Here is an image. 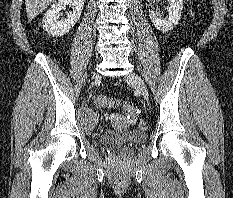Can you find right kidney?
<instances>
[{"instance_id": "1", "label": "right kidney", "mask_w": 233, "mask_h": 198, "mask_svg": "<svg viewBox=\"0 0 233 198\" xmlns=\"http://www.w3.org/2000/svg\"><path fill=\"white\" fill-rule=\"evenodd\" d=\"M85 0H58L47 10L42 20L45 31L53 37H61L68 33L77 23L83 10ZM67 5L73 7L67 18L59 20L61 10Z\"/></svg>"}]
</instances>
